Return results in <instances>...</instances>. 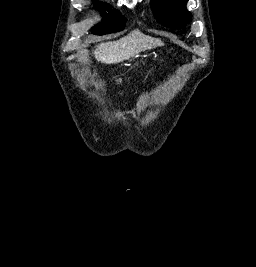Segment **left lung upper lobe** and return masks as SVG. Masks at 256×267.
Wrapping results in <instances>:
<instances>
[{"mask_svg":"<svg viewBox=\"0 0 256 267\" xmlns=\"http://www.w3.org/2000/svg\"><path fill=\"white\" fill-rule=\"evenodd\" d=\"M188 0H152L158 21L171 28H183L191 18L185 5Z\"/></svg>","mask_w":256,"mask_h":267,"instance_id":"obj_1","label":"left lung upper lobe"}]
</instances>
